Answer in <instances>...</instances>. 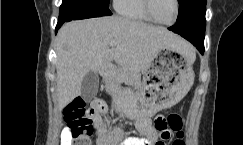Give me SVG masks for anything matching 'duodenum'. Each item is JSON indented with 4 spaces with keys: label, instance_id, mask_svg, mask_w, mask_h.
I'll return each instance as SVG.
<instances>
[{
    "label": "duodenum",
    "instance_id": "obj_1",
    "mask_svg": "<svg viewBox=\"0 0 243 145\" xmlns=\"http://www.w3.org/2000/svg\"><path fill=\"white\" fill-rule=\"evenodd\" d=\"M100 73L103 78H105L107 81L110 80L112 69L110 65H104L101 67Z\"/></svg>",
    "mask_w": 243,
    "mask_h": 145
}]
</instances>
